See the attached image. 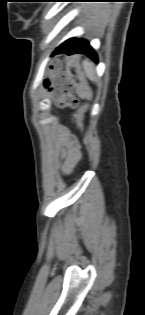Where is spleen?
Returning <instances> with one entry per match:
<instances>
[{"mask_svg": "<svg viewBox=\"0 0 145 315\" xmlns=\"http://www.w3.org/2000/svg\"><path fill=\"white\" fill-rule=\"evenodd\" d=\"M82 66L87 78L91 81H96L94 64L91 61L84 60Z\"/></svg>", "mask_w": 145, "mask_h": 315, "instance_id": "spleen-1", "label": "spleen"}]
</instances>
